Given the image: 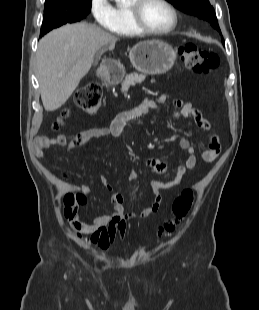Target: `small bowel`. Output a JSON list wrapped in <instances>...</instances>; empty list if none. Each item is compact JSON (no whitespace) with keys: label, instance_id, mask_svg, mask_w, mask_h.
I'll use <instances>...</instances> for the list:
<instances>
[{"label":"small bowel","instance_id":"c3829d8e","mask_svg":"<svg viewBox=\"0 0 259 310\" xmlns=\"http://www.w3.org/2000/svg\"><path fill=\"white\" fill-rule=\"evenodd\" d=\"M156 102H166L171 107L174 119L181 124L184 119L193 117L196 124L202 129L208 130L210 128L209 123L203 118L200 111L195 109L190 103H183L180 100L171 99L166 95H160L156 98L145 97L135 108L119 113L109 127L86 130L71 141L63 135L57 137H38L33 143V153L36 157L44 159L46 157V150L52 146L58 145L66 150L84 149L95 139L105 136L117 137L121 134L130 119L149 113L155 108ZM179 145L187 151V160L185 164L177 167L176 173L168 181H151L154 201L150 206L142 210L139 214L127 213L125 211L124 197L118 190L110 196V202L113 206L112 212L97 217L91 223H83L75 220L71 223L73 231L78 235H87L86 241L88 243L98 246L101 251H106L117 238L121 239L124 236L127 221L146 219L157 213L162 203L161 191L178 185L186 174L196 166L197 159L190 141L183 138L179 141ZM220 151L221 138L219 135L214 134L210 137L208 146L202 153V159L206 162H211L217 158ZM145 164L157 174L165 175L167 173L166 164L160 160L148 159ZM101 183L107 189L112 188L111 182L105 176L101 177ZM79 189L87 195L91 194V189L87 184H80Z\"/></svg>","mask_w":259,"mask_h":310}]
</instances>
